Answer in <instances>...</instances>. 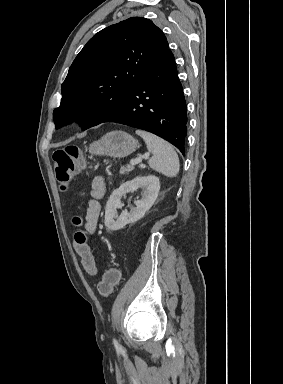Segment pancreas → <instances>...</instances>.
Instances as JSON below:
<instances>
[{"mask_svg": "<svg viewBox=\"0 0 283 384\" xmlns=\"http://www.w3.org/2000/svg\"><path fill=\"white\" fill-rule=\"evenodd\" d=\"M134 170L133 166H126V168H120V174H129V172H132Z\"/></svg>", "mask_w": 283, "mask_h": 384, "instance_id": "1", "label": "pancreas"}]
</instances>
